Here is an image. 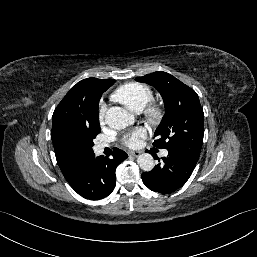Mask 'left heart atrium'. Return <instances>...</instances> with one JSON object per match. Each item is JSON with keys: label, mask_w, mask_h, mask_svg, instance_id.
Returning <instances> with one entry per match:
<instances>
[{"label": "left heart atrium", "mask_w": 257, "mask_h": 257, "mask_svg": "<svg viewBox=\"0 0 257 257\" xmlns=\"http://www.w3.org/2000/svg\"><path fill=\"white\" fill-rule=\"evenodd\" d=\"M146 135L144 128H136L131 132L126 133L122 137V142L128 147H136L140 143V139Z\"/></svg>", "instance_id": "obj_1"}]
</instances>
